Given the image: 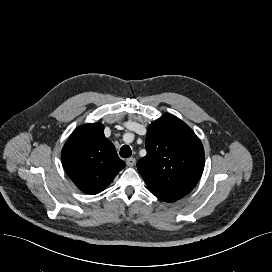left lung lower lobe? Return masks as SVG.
Masks as SVG:
<instances>
[{
	"mask_svg": "<svg viewBox=\"0 0 272 272\" xmlns=\"http://www.w3.org/2000/svg\"><path fill=\"white\" fill-rule=\"evenodd\" d=\"M150 192L153 195H155L157 198H159L160 200H163L166 202H173L181 198L176 195L165 193V192H158V191H150Z\"/></svg>",
	"mask_w": 272,
	"mask_h": 272,
	"instance_id": "obj_1",
	"label": "left lung lower lobe"
}]
</instances>
